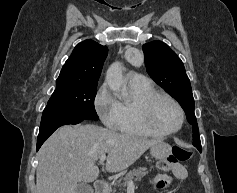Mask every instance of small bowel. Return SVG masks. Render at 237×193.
<instances>
[{
  "instance_id": "c3829d8e",
  "label": "small bowel",
  "mask_w": 237,
  "mask_h": 193,
  "mask_svg": "<svg viewBox=\"0 0 237 193\" xmlns=\"http://www.w3.org/2000/svg\"><path fill=\"white\" fill-rule=\"evenodd\" d=\"M173 175L179 179L183 180L186 179L188 176L187 170L184 166L182 165H177L173 170H172ZM167 176L165 175H159L155 178L156 181H158V186L160 188L164 187L165 182H166Z\"/></svg>"
}]
</instances>
